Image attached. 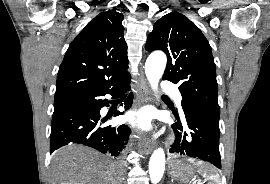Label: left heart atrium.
Listing matches in <instances>:
<instances>
[{"instance_id":"left-heart-atrium-1","label":"left heart atrium","mask_w":270,"mask_h":184,"mask_svg":"<svg viewBox=\"0 0 270 184\" xmlns=\"http://www.w3.org/2000/svg\"><path fill=\"white\" fill-rule=\"evenodd\" d=\"M128 119L139 129L148 131L152 129V113L148 109L131 112Z\"/></svg>"}]
</instances>
